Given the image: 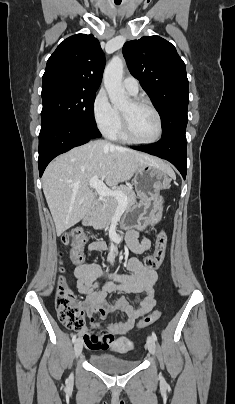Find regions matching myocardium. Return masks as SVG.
I'll list each match as a JSON object with an SVG mask.
<instances>
[{"label":"myocardium","instance_id":"f54148a6","mask_svg":"<svg viewBox=\"0 0 235 404\" xmlns=\"http://www.w3.org/2000/svg\"><path fill=\"white\" fill-rule=\"evenodd\" d=\"M131 103L135 107H146L155 114L157 123H158V132H157L156 137L149 141H141V140L136 139L133 136V134L131 133L127 116L123 112H120L121 128H122L124 137L129 142L138 144V145H151V144L157 143L163 135V121H162V117H161L159 111L156 109V107L153 104H151L150 102H148L144 99L134 98L131 100Z\"/></svg>","mask_w":235,"mask_h":404}]
</instances>
